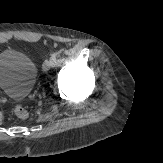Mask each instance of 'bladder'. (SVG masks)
Here are the masks:
<instances>
[{
  "label": "bladder",
  "mask_w": 163,
  "mask_h": 163,
  "mask_svg": "<svg viewBox=\"0 0 163 163\" xmlns=\"http://www.w3.org/2000/svg\"><path fill=\"white\" fill-rule=\"evenodd\" d=\"M37 67L26 54L13 49L0 52V91L14 99L26 98L33 90Z\"/></svg>",
  "instance_id": "obj_1"
}]
</instances>
